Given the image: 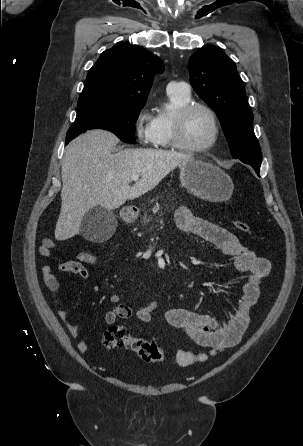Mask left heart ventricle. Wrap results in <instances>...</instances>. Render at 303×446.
I'll use <instances>...</instances> for the list:
<instances>
[{
  "label": "left heart ventricle",
  "mask_w": 303,
  "mask_h": 446,
  "mask_svg": "<svg viewBox=\"0 0 303 446\" xmlns=\"http://www.w3.org/2000/svg\"><path fill=\"white\" fill-rule=\"evenodd\" d=\"M213 134V127L208 114L201 109L194 110L186 119L183 139L190 146H203Z\"/></svg>",
  "instance_id": "b2bd125f"
}]
</instances>
